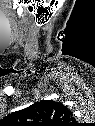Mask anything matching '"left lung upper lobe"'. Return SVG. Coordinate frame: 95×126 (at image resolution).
<instances>
[{"instance_id":"5c2ea615","label":"left lung upper lobe","mask_w":95,"mask_h":126,"mask_svg":"<svg viewBox=\"0 0 95 126\" xmlns=\"http://www.w3.org/2000/svg\"><path fill=\"white\" fill-rule=\"evenodd\" d=\"M17 126H71L72 112L61 102L41 100L7 116Z\"/></svg>"}]
</instances>
